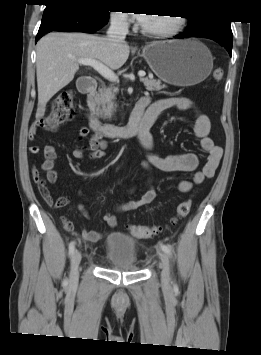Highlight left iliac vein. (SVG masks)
Listing matches in <instances>:
<instances>
[{"mask_svg":"<svg viewBox=\"0 0 261 355\" xmlns=\"http://www.w3.org/2000/svg\"><path fill=\"white\" fill-rule=\"evenodd\" d=\"M161 259V281L162 284L168 285L170 282V261L165 253H160Z\"/></svg>","mask_w":261,"mask_h":355,"instance_id":"1","label":"left iliac vein"}]
</instances>
